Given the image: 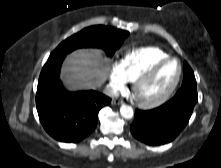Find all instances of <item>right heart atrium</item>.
I'll use <instances>...</instances> for the list:
<instances>
[{
  "label": "right heart atrium",
  "instance_id": "obj_1",
  "mask_svg": "<svg viewBox=\"0 0 221 168\" xmlns=\"http://www.w3.org/2000/svg\"><path fill=\"white\" fill-rule=\"evenodd\" d=\"M126 80L122 76L118 66H113L108 77V88L112 94H117L125 88Z\"/></svg>",
  "mask_w": 221,
  "mask_h": 168
}]
</instances>
